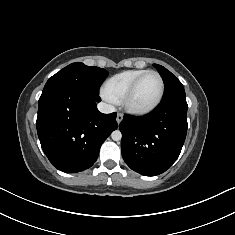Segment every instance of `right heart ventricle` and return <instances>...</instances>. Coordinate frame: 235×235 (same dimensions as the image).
Instances as JSON below:
<instances>
[{
    "label": "right heart ventricle",
    "mask_w": 235,
    "mask_h": 235,
    "mask_svg": "<svg viewBox=\"0 0 235 235\" xmlns=\"http://www.w3.org/2000/svg\"><path fill=\"white\" fill-rule=\"evenodd\" d=\"M145 71L147 70L131 69L117 73L106 80L103 85V90L110 95L115 102H119L122 100L132 82Z\"/></svg>",
    "instance_id": "1"
}]
</instances>
